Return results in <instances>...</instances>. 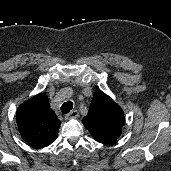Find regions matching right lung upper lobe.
Wrapping results in <instances>:
<instances>
[{"instance_id":"cb5924a9","label":"right lung upper lobe","mask_w":171,"mask_h":171,"mask_svg":"<svg viewBox=\"0 0 171 171\" xmlns=\"http://www.w3.org/2000/svg\"><path fill=\"white\" fill-rule=\"evenodd\" d=\"M16 119L23 140L36 147H45L54 142L61 124L44 93L21 104Z\"/></svg>"}]
</instances>
